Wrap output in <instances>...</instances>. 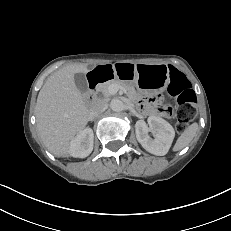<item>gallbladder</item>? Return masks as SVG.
Wrapping results in <instances>:
<instances>
[{
	"instance_id": "obj_1",
	"label": "gallbladder",
	"mask_w": 231,
	"mask_h": 231,
	"mask_svg": "<svg viewBox=\"0 0 231 231\" xmlns=\"http://www.w3.org/2000/svg\"><path fill=\"white\" fill-rule=\"evenodd\" d=\"M74 81H75L76 87L81 92L87 91V89H88L87 80H86L85 75L83 73H76L74 75Z\"/></svg>"
}]
</instances>
